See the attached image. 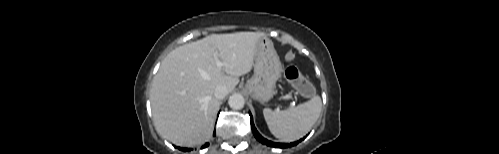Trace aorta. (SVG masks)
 I'll return each instance as SVG.
<instances>
[{
	"label": "aorta",
	"mask_w": 499,
	"mask_h": 154,
	"mask_svg": "<svg viewBox=\"0 0 499 154\" xmlns=\"http://www.w3.org/2000/svg\"><path fill=\"white\" fill-rule=\"evenodd\" d=\"M228 104H229L230 108H232V109H235V110L241 109L244 107L245 99L241 94L235 93V94L230 96V98L228 100Z\"/></svg>",
	"instance_id": "762f6f07"
}]
</instances>
